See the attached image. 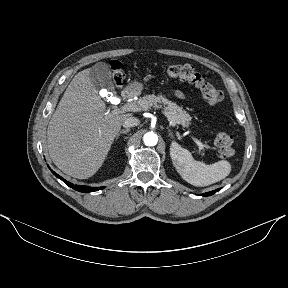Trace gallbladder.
Instances as JSON below:
<instances>
[{
	"instance_id": "gallbladder-1",
	"label": "gallbladder",
	"mask_w": 288,
	"mask_h": 288,
	"mask_svg": "<svg viewBox=\"0 0 288 288\" xmlns=\"http://www.w3.org/2000/svg\"><path fill=\"white\" fill-rule=\"evenodd\" d=\"M89 77L97 89L106 88L108 91H114V85L111 78L109 66L104 62L95 64L89 72Z\"/></svg>"
}]
</instances>
